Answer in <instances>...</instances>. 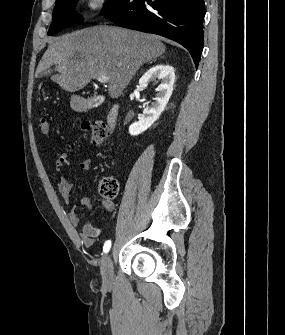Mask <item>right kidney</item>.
Segmentation results:
<instances>
[{
  "label": "right kidney",
  "mask_w": 285,
  "mask_h": 335,
  "mask_svg": "<svg viewBox=\"0 0 285 335\" xmlns=\"http://www.w3.org/2000/svg\"><path fill=\"white\" fill-rule=\"evenodd\" d=\"M151 80H160L161 84H159L156 90L158 94L156 98H154L155 102H152V106L145 108L143 114H141V118H139V122H135V124L129 126V134H131V136L142 134V132H145L147 128H150V126L158 120L159 116H161L173 92L175 70L172 66H164V64L153 66V68H150V70L140 78V88H142V90L147 88Z\"/></svg>",
  "instance_id": "right-kidney-1"
}]
</instances>
